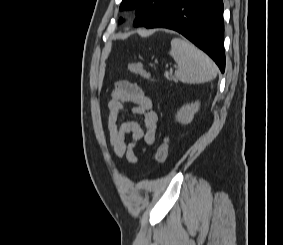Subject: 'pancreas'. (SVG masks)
<instances>
[{
	"instance_id": "cf45deb5",
	"label": "pancreas",
	"mask_w": 283,
	"mask_h": 245,
	"mask_svg": "<svg viewBox=\"0 0 283 245\" xmlns=\"http://www.w3.org/2000/svg\"><path fill=\"white\" fill-rule=\"evenodd\" d=\"M165 77L167 78V79H169V80H173L174 78H173V76H172V72L170 71V72H165Z\"/></svg>"
}]
</instances>
